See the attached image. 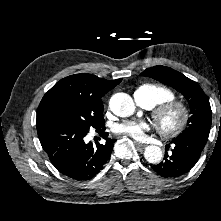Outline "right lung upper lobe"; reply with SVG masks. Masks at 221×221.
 I'll return each instance as SVG.
<instances>
[{"label": "right lung upper lobe", "mask_w": 221, "mask_h": 221, "mask_svg": "<svg viewBox=\"0 0 221 221\" xmlns=\"http://www.w3.org/2000/svg\"><path fill=\"white\" fill-rule=\"evenodd\" d=\"M121 81L122 79L110 81L87 73L68 76L57 82L44 95L38 110L42 111L65 99H85L102 103L101 98Z\"/></svg>", "instance_id": "obj_1"}]
</instances>
